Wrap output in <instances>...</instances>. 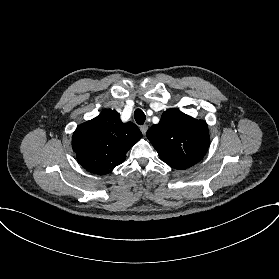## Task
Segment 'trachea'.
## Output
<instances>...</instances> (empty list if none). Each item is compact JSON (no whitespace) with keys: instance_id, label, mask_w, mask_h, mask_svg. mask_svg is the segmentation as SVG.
Here are the masks:
<instances>
[{"instance_id":"3493384b","label":"trachea","mask_w":279,"mask_h":279,"mask_svg":"<svg viewBox=\"0 0 279 279\" xmlns=\"http://www.w3.org/2000/svg\"><path fill=\"white\" fill-rule=\"evenodd\" d=\"M134 117H135L136 122L139 125H143L145 120H146V116H145L144 112L141 109H136L135 110Z\"/></svg>"}]
</instances>
